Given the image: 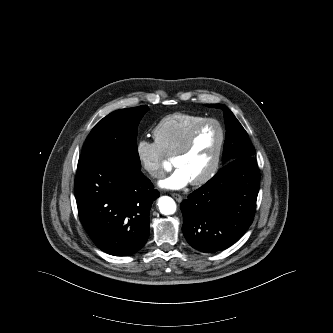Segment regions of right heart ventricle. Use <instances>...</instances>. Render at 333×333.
I'll return each mask as SVG.
<instances>
[{
	"label": "right heart ventricle",
	"mask_w": 333,
	"mask_h": 333,
	"mask_svg": "<svg viewBox=\"0 0 333 333\" xmlns=\"http://www.w3.org/2000/svg\"><path fill=\"white\" fill-rule=\"evenodd\" d=\"M206 117L190 113H173L163 117L154 127V141L163 154H173L182 145L190 130Z\"/></svg>",
	"instance_id": "right-heart-ventricle-1"
}]
</instances>
